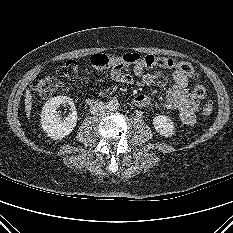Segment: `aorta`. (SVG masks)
<instances>
[{"instance_id":"aorta-1","label":"aorta","mask_w":233,"mask_h":233,"mask_svg":"<svg viewBox=\"0 0 233 233\" xmlns=\"http://www.w3.org/2000/svg\"><path fill=\"white\" fill-rule=\"evenodd\" d=\"M107 107L109 110H117L119 108V102L117 99H111L108 101Z\"/></svg>"}]
</instances>
